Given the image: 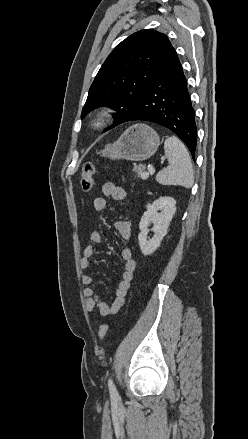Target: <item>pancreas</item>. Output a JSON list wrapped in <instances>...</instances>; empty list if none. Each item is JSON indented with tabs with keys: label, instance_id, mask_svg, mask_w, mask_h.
Segmentation results:
<instances>
[{
	"label": "pancreas",
	"instance_id": "pancreas-1",
	"mask_svg": "<svg viewBox=\"0 0 248 439\" xmlns=\"http://www.w3.org/2000/svg\"><path fill=\"white\" fill-rule=\"evenodd\" d=\"M145 167L143 165L134 166L133 171H135L139 177L142 178Z\"/></svg>",
	"mask_w": 248,
	"mask_h": 439
}]
</instances>
